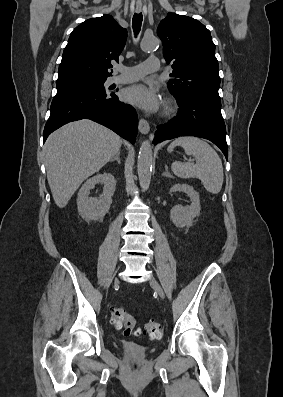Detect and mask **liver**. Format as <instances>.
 I'll use <instances>...</instances> for the list:
<instances>
[{
    "label": "liver",
    "mask_w": 283,
    "mask_h": 397,
    "mask_svg": "<svg viewBox=\"0 0 283 397\" xmlns=\"http://www.w3.org/2000/svg\"><path fill=\"white\" fill-rule=\"evenodd\" d=\"M121 145L117 134L87 119L68 123L53 132L43 151L56 205L64 208L82 182L110 161Z\"/></svg>",
    "instance_id": "6515ba94"
}]
</instances>
